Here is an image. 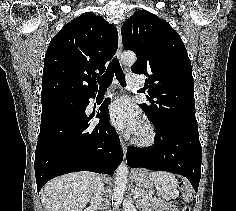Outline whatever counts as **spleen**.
Returning <instances> with one entry per match:
<instances>
[{
	"instance_id": "spleen-1",
	"label": "spleen",
	"mask_w": 236,
	"mask_h": 211,
	"mask_svg": "<svg viewBox=\"0 0 236 211\" xmlns=\"http://www.w3.org/2000/svg\"><path fill=\"white\" fill-rule=\"evenodd\" d=\"M149 178L166 200L176 199L179 196L178 181L174 174L157 171L151 172Z\"/></svg>"
}]
</instances>
